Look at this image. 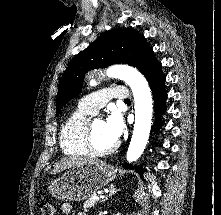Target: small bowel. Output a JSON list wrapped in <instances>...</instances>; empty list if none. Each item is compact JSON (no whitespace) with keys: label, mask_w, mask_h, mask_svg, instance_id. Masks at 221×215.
Wrapping results in <instances>:
<instances>
[{"label":"small bowel","mask_w":221,"mask_h":215,"mask_svg":"<svg viewBox=\"0 0 221 215\" xmlns=\"http://www.w3.org/2000/svg\"><path fill=\"white\" fill-rule=\"evenodd\" d=\"M61 210H62L63 213L69 214V213H71V211H72V206H71L70 203H63V204L61 205ZM78 215H84V214H83V213H80V214H78Z\"/></svg>","instance_id":"c3829d8e"}]
</instances>
